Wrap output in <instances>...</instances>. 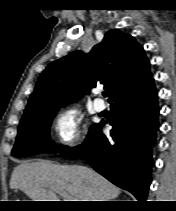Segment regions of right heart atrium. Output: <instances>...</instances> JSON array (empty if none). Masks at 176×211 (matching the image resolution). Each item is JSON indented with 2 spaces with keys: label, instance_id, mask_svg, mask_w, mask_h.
<instances>
[{
  "label": "right heart atrium",
  "instance_id": "obj_1",
  "mask_svg": "<svg viewBox=\"0 0 176 211\" xmlns=\"http://www.w3.org/2000/svg\"><path fill=\"white\" fill-rule=\"evenodd\" d=\"M52 131L56 141L66 147L80 145L83 134V120L73 109L58 112L52 120Z\"/></svg>",
  "mask_w": 176,
  "mask_h": 211
}]
</instances>
